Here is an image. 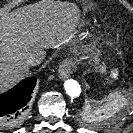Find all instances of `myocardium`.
<instances>
[{
    "label": "myocardium",
    "instance_id": "myocardium-1",
    "mask_svg": "<svg viewBox=\"0 0 133 133\" xmlns=\"http://www.w3.org/2000/svg\"><path fill=\"white\" fill-rule=\"evenodd\" d=\"M99 42V36L96 32L92 33L90 41L87 45L86 50L84 51V58H88L96 49Z\"/></svg>",
    "mask_w": 133,
    "mask_h": 133
}]
</instances>
